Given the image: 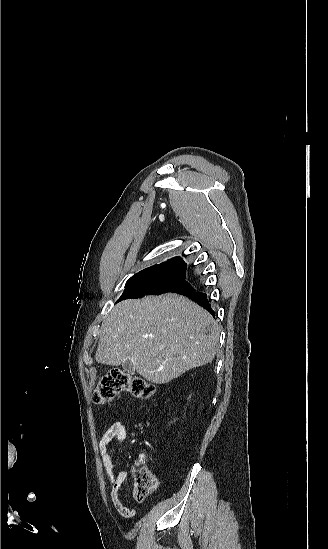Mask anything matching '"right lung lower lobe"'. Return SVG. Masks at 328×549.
I'll return each instance as SVG.
<instances>
[{"mask_svg":"<svg viewBox=\"0 0 328 549\" xmlns=\"http://www.w3.org/2000/svg\"><path fill=\"white\" fill-rule=\"evenodd\" d=\"M179 294H181V293H179ZM182 295H185L188 298L196 301L200 306L207 309L214 316V311L211 309V305H210L205 293H199V292H195L194 290H192L190 292H184V293H182Z\"/></svg>","mask_w":328,"mask_h":549,"instance_id":"obj_1","label":"right lung lower lobe"}]
</instances>
